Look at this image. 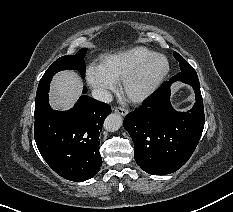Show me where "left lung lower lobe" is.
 Returning <instances> with one entry per match:
<instances>
[{"label": "left lung lower lobe", "mask_w": 233, "mask_h": 212, "mask_svg": "<svg viewBox=\"0 0 233 212\" xmlns=\"http://www.w3.org/2000/svg\"><path fill=\"white\" fill-rule=\"evenodd\" d=\"M183 81L193 87L196 103L188 112H178L170 104V85ZM205 123L203 100L196 73L175 75L165 81L143 106L129 113L124 128L134 142L136 163L147 173L169 174L190 158Z\"/></svg>", "instance_id": "1"}]
</instances>
